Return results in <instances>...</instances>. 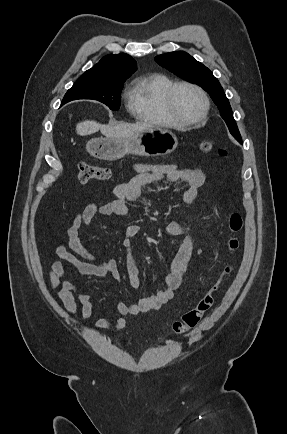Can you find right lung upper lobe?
<instances>
[{
	"mask_svg": "<svg viewBox=\"0 0 287 434\" xmlns=\"http://www.w3.org/2000/svg\"><path fill=\"white\" fill-rule=\"evenodd\" d=\"M136 61L125 53L104 56L95 66L84 72L80 78L124 81L136 71Z\"/></svg>",
	"mask_w": 287,
	"mask_h": 434,
	"instance_id": "cb5924a9",
	"label": "right lung upper lobe"
}]
</instances>
